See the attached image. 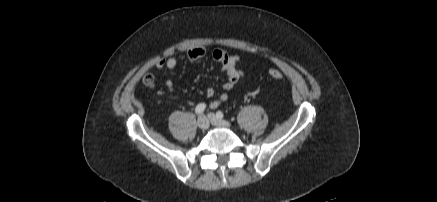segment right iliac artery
<instances>
[{
	"label": "right iliac artery",
	"mask_w": 437,
	"mask_h": 202,
	"mask_svg": "<svg viewBox=\"0 0 437 202\" xmlns=\"http://www.w3.org/2000/svg\"><path fill=\"white\" fill-rule=\"evenodd\" d=\"M205 108H206V104H204V103H200V104H198L197 106H196V108H195V113L196 114H202L203 112H204V110H205Z\"/></svg>",
	"instance_id": "right-iliac-artery-1"
}]
</instances>
